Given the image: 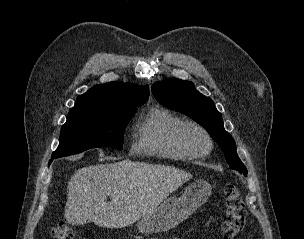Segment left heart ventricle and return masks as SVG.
Wrapping results in <instances>:
<instances>
[{"mask_svg":"<svg viewBox=\"0 0 304 239\" xmlns=\"http://www.w3.org/2000/svg\"><path fill=\"white\" fill-rule=\"evenodd\" d=\"M185 140L187 144L194 150H204L207 147L205 136L197 129H188L185 132Z\"/></svg>","mask_w":304,"mask_h":239,"instance_id":"b2bd125f","label":"left heart ventricle"}]
</instances>
